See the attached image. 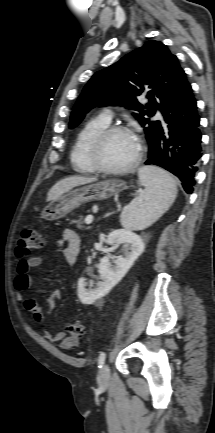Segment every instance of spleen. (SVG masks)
<instances>
[{"mask_svg": "<svg viewBox=\"0 0 215 433\" xmlns=\"http://www.w3.org/2000/svg\"><path fill=\"white\" fill-rule=\"evenodd\" d=\"M145 190L122 210L121 225L127 229L142 230L158 220L173 204L177 186L169 173L154 166L138 171Z\"/></svg>", "mask_w": 215, "mask_h": 433, "instance_id": "spleen-1", "label": "spleen"}]
</instances>
